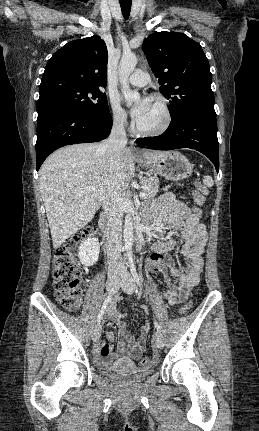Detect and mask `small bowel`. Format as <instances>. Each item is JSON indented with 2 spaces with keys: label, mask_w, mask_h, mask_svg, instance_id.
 Returning <instances> with one entry per match:
<instances>
[{
  "label": "small bowel",
  "mask_w": 259,
  "mask_h": 431,
  "mask_svg": "<svg viewBox=\"0 0 259 431\" xmlns=\"http://www.w3.org/2000/svg\"><path fill=\"white\" fill-rule=\"evenodd\" d=\"M150 217L155 219L161 226H169L172 233L167 241L156 242L152 247L147 269L151 272L162 274L168 285V289L162 297L170 304L175 305L188 299L193 288L199 283L203 269V251L207 242V231L200 223V219L193 217L192 208L175 200L171 193L163 194L156 206L151 209ZM181 236L184 243L181 255L184 259L183 270L177 267L167 252L175 248L177 238ZM171 278L177 279L173 283ZM119 328V341L116 352L110 344L98 342L96 347V360L100 365H109L114 361L131 363L138 360L144 349L150 324L144 322L141 326L140 335L137 339L126 329L122 321L124 314L112 305L109 310ZM108 340H114V334L107 333Z\"/></svg>",
  "instance_id": "1"
}]
</instances>
